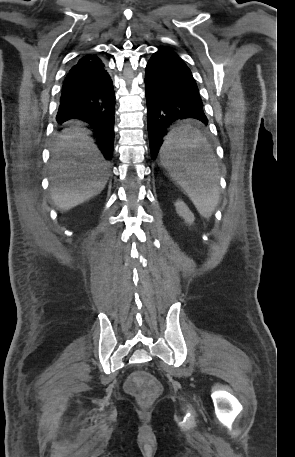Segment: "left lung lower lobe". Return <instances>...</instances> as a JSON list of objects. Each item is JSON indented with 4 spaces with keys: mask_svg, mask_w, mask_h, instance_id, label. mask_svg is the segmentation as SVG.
I'll use <instances>...</instances> for the list:
<instances>
[{
    "mask_svg": "<svg viewBox=\"0 0 295 457\" xmlns=\"http://www.w3.org/2000/svg\"><path fill=\"white\" fill-rule=\"evenodd\" d=\"M145 94L152 159H156L168 134L167 127L174 121L193 118L205 125L208 123L195 79L189 67L171 49L159 48L148 61ZM190 157L196 163H204L194 153Z\"/></svg>",
    "mask_w": 295,
    "mask_h": 457,
    "instance_id": "left-lung-lower-lobe-1",
    "label": "left lung lower lobe"
}]
</instances>
